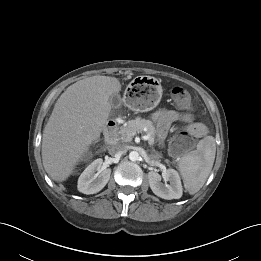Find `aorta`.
<instances>
[{"label":"aorta","instance_id":"762f6f07","mask_svg":"<svg viewBox=\"0 0 261 261\" xmlns=\"http://www.w3.org/2000/svg\"><path fill=\"white\" fill-rule=\"evenodd\" d=\"M129 159L131 161H137L139 159V153L137 151H131L129 153Z\"/></svg>","mask_w":261,"mask_h":261}]
</instances>
